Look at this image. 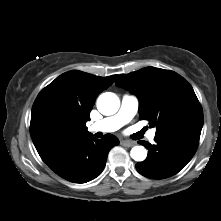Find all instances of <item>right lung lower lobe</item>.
<instances>
[{"label": "right lung lower lobe", "instance_id": "1", "mask_svg": "<svg viewBox=\"0 0 221 221\" xmlns=\"http://www.w3.org/2000/svg\"><path fill=\"white\" fill-rule=\"evenodd\" d=\"M118 144V139L111 134L100 140L90 134L54 143L38 153L60 177L74 183H86L103 171L108 152Z\"/></svg>", "mask_w": 221, "mask_h": 221}]
</instances>
